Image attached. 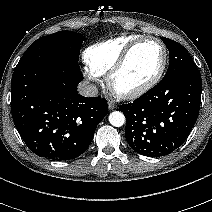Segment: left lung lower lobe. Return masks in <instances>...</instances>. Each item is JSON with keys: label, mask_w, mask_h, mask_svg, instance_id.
<instances>
[{"label": "left lung lower lobe", "mask_w": 212, "mask_h": 212, "mask_svg": "<svg viewBox=\"0 0 212 212\" xmlns=\"http://www.w3.org/2000/svg\"><path fill=\"white\" fill-rule=\"evenodd\" d=\"M201 92L199 70L193 69L159 82L133 103L121 105L130 147L148 157L176 150L197 120Z\"/></svg>", "instance_id": "left-lung-lower-lobe-1"}]
</instances>
